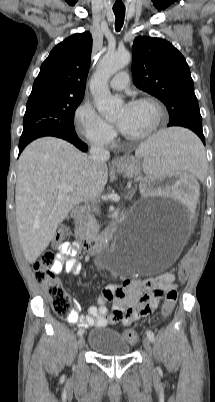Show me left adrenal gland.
Returning <instances> with one entry per match:
<instances>
[{"mask_svg":"<svg viewBox=\"0 0 215 402\" xmlns=\"http://www.w3.org/2000/svg\"><path fill=\"white\" fill-rule=\"evenodd\" d=\"M135 189H133V190H131V191H129L128 192V195H127V199H129V200H131L132 199V197L134 196V194H135Z\"/></svg>","mask_w":215,"mask_h":402,"instance_id":"obj_1","label":"left adrenal gland"}]
</instances>
